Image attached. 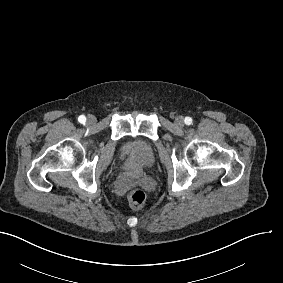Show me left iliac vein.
I'll use <instances>...</instances> for the list:
<instances>
[{"instance_id": "obj_1", "label": "left iliac vein", "mask_w": 283, "mask_h": 283, "mask_svg": "<svg viewBox=\"0 0 283 283\" xmlns=\"http://www.w3.org/2000/svg\"><path fill=\"white\" fill-rule=\"evenodd\" d=\"M175 125L178 126V127H182L183 124H184V118L182 116H178L176 119H175Z\"/></svg>"}]
</instances>
